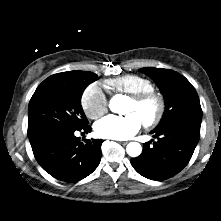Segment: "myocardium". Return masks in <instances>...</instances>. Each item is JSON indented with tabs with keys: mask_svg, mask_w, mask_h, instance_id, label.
Here are the masks:
<instances>
[{
	"mask_svg": "<svg viewBox=\"0 0 221 221\" xmlns=\"http://www.w3.org/2000/svg\"><path fill=\"white\" fill-rule=\"evenodd\" d=\"M129 100L137 106H143L148 103H153L155 105L154 113L150 117L142 120L146 127H153L157 125L165 114V100L163 96L155 90H149L139 94L130 95Z\"/></svg>",
	"mask_w": 221,
	"mask_h": 221,
	"instance_id": "myocardium-1",
	"label": "myocardium"
}]
</instances>
